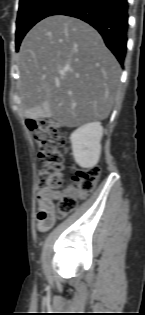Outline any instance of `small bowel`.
<instances>
[{
	"instance_id": "obj_1",
	"label": "small bowel",
	"mask_w": 145,
	"mask_h": 315,
	"mask_svg": "<svg viewBox=\"0 0 145 315\" xmlns=\"http://www.w3.org/2000/svg\"><path fill=\"white\" fill-rule=\"evenodd\" d=\"M68 193H72L71 188H67ZM60 191H41L38 194L39 210L37 213V226L40 231L49 230L55 223L56 216L53 209V201L61 196Z\"/></svg>"
}]
</instances>
